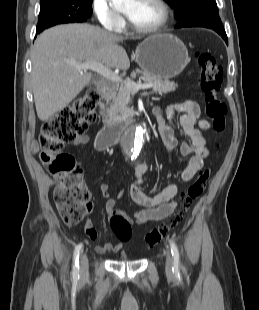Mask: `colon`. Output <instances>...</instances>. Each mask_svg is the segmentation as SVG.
<instances>
[{
	"mask_svg": "<svg viewBox=\"0 0 259 310\" xmlns=\"http://www.w3.org/2000/svg\"><path fill=\"white\" fill-rule=\"evenodd\" d=\"M195 58L200 69V86L204 95L205 112L215 132L226 127V105L219 98L222 84V67L208 50L198 49ZM98 93L89 89L64 107L57 115L45 121L41 128V161L48 172L60 182L54 199L63 222L75 225L81 222L91 208V194L83 183L82 171L73 155L64 152V145L82 136L93 124L97 115ZM210 177V170L199 172L197 178L182 194L183 209L168 223L152 229L145 236L148 247L155 246L182 220L185 210L202 194ZM110 227L122 242L131 238L130 222L121 214L110 218Z\"/></svg>",
	"mask_w": 259,
	"mask_h": 310,
	"instance_id": "5ec220e1",
	"label": "colon"
}]
</instances>
